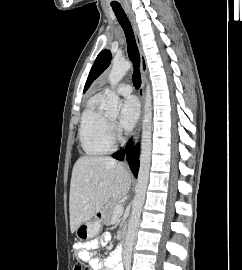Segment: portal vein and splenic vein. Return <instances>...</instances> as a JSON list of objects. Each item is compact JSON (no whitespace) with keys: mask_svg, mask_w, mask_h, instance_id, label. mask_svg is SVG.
Listing matches in <instances>:
<instances>
[{"mask_svg":"<svg viewBox=\"0 0 242 270\" xmlns=\"http://www.w3.org/2000/svg\"><path fill=\"white\" fill-rule=\"evenodd\" d=\"M124 207L122 204L118 203L114 208V215H121L123 213Z\"/></svg>","mask_w":242,"mask_h":270,"instance_id":"portal-vein-and-splenic-vein-1","label":"portal vein and splenic vein"}]
</instances>
